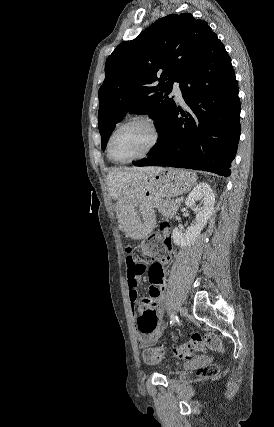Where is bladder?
<instances>
[{
  "instance_id": "1",
  "label": "bladder",
  "mask_w": 274,
  "mask_h": 427,
  "mask_svg": "<svg viewBox=\"0 0 274 427\" xmlns=\"http://www.w3.org/2000/svg\"><path fill=\"white\" fill-rule=\"evenodd\" d=\"M162 369L164 372H169L171 370V365H166Z\"/></svg>"
}]
</instances>
